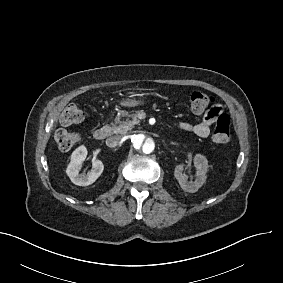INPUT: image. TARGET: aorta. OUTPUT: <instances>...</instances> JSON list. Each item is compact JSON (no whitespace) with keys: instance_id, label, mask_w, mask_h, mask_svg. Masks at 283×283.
Masks as SVG:
<instances>
[{"instance_id":"obj_1","label":"aorta","mask_w":283,"mask_h":283,"mask_svg":"<svg viewBox=\"0 0 283 283\" xmlns=\"http://www.w3.org/2000/svg\"><path fill=\"white\" fill-rule=\"evenodd\" d=\"M130 139V151L136 156H150L156 150V140L147 132L133 134Z\"/></svg>"}]
</instances>
